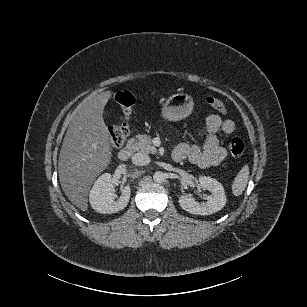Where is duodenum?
<instances>
[{
  "mask_svg": "<svg viewBox=\"0 0 307 307\" xmlns=\"http://www.w3.org/2000/svg\"><path fill=\"white\" fill-rule=\"evenodd\" d=\"M132 150H133V144L129 143L127 144L125 147H123L119 153H118V158L121 161H126L130 158L131 154H132Z\"/></svg>",
  "mask_w": 307,
  "mask_h": 307,
  "instance_id": "obj_1",
  "label": "duodenum"
}]
</instances>
